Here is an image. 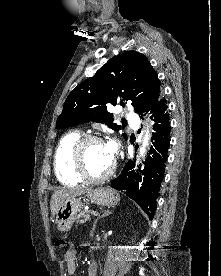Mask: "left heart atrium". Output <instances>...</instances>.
<instances>
[{
	"label": "left heart atrium",
	"instance_id": "left-heart-atrium-1",
	"mask_svg": "<svg viewBox=\"0 0 221 276\" xmlns=\"http://www.w3.org/2000/svg\"><path fill=\"white\" fill-rule=\"evenodd\" d=\"M106 147L110 155L114 158L116 152V144L114 142H110L106 144Z\"/></svg>",
	"mask_w": 221,
	"mask_h": 276
}]
</instances>
